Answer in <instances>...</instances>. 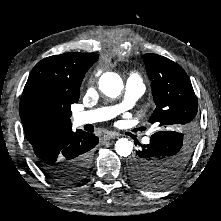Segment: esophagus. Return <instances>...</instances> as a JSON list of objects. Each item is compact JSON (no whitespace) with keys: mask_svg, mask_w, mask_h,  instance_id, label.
Masks as SVG:
<instances>
[{"mask_svg":"<svg viewBox=\"0 0 221 221\" xmlns=\"http://www.w3.org/2000/svg\"><path fill=\"white\" fill-rule=\"evenodd\" d=\"M119 135L116 134V133H109V134H106L103 136L102 140L103 141H107V140H112V139H115L117 138Z\"/></svg>","mask_w":221,"mask_h":221,"instance_id":"esophagus-1","label":"esophagus"}]
</instances>
